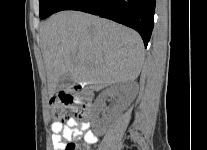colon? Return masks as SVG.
I'll use <instances>...</instances> for the list:
<instances>
[{"label":"colon","instance_id":"5ec220e1","mask_svg":"<svg viewBox=\"0 0 207 150\" xmlns=\"http://www.w3.org/2000/svg\"><path fill=\"white\" fill-rule=\"evenodd\" d=\"M70 98L69 95L64 94V97H53L50 100L51 118L54 122H65L69 119V114L65 105H81V100H65ZM84 111L77 112V117L82 119ZM65 150H81L75 143L67 144Z\"/></svg>","mask_w":207,"mask_h":150}]
</instances>
